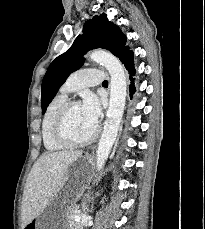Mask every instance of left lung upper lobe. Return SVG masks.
Here are the masks:
<instances>
[{"mask_svg": "<svg viewBox=\"0 0 205 229\" xmlns=\"http://www.w3.org/2000/svg\"><path fill=\"white\" fill-rule=\"evenodd\" d=\"M125 44L126 36L117 25L108 21L106 14L96 15L87 21L83 27V34L79 35L72 46L48 67L41 87L42 114L67 77L83 65V56L89 50L107 49L118 56L127 47Z\"/></svg>", "mask_w": 205, "mask_h": 229, "instance_id": "left-lung-upper-lobe-1", "label": "left lung upper lobe"}]
</instances>
